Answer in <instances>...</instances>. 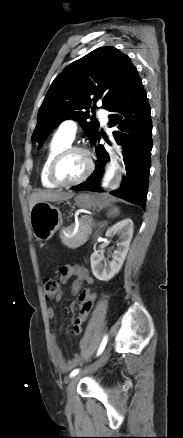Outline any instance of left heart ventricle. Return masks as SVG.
I'll return each mask as SVG.
<instances>
[{
    "instance_id": "b2bd125f",
    "label": "left heart ventricle",
    "mask_w": 183,
    "mask_h": 438,
    "mask_svg": "<svg viewBox=\"0 0 183 438\" xmlns=\"http://www.w3.org/2000/svg\"><path fill=\"white\" fill-rule=\"evenodd\" d=\"M86 159L79 152L65 156L58 164L56 178L62 182H72L78 179L85 171Z\"/></svg>"
}]
</instances>
